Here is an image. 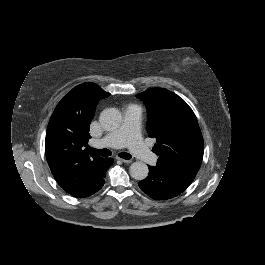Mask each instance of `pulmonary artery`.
Masks as SVG:
<instances>
[{"instance_id":"e3ab8cb5","label":"pulmonary artery","mask_w":265,"mask_h":265,"mask_svg":"<svg viewBox=\"0 0 265 265\" xmlns=\"http://www.w3.org/2000/svg\"><path fill=\"white\" fill-rule=\"evenodd\" d=\"M140 110L134 106H128L123 109V123L118 126L114 134L103 139H94V143H105L109 149L121 148L127 139V145L130 152L142 160L145 164H152L156 160L154 152L140 143L139 121Z\"/></svg>"}]
</instances>
